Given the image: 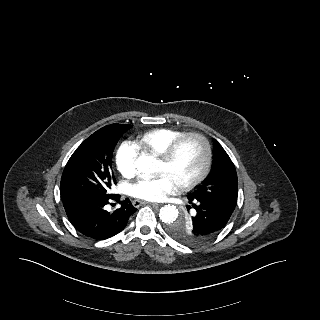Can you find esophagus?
<instances>
[{
  "mask_svg": "<svg viewBox=\"0 0 320 320\" xmlns=\"http://www.w3.org/2000/svg\"><path fill=\"white\" fill-rule=\"evenodd\" d=\"M148 203L149 202H146V201L135 200V201H133V206L134 207H140L141 205L148 204ZM149 204H151L153 206H159V204H157V203H149Z\"/></svg>",
  "mask_w": 320,
  "mask_h": 320,
  "instance_id": "obj_1",
  "label": "esophagus"
}]
</instances>
